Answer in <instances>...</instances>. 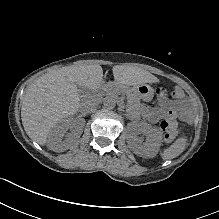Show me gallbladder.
<instances>
[{
    "mask_svg": "<svg viewBox=\"0 0 219 219\" xmlns=\"http://www.w3.org/2000/svg\"><path fill=\"white\" fill-rule=\"evenodd\" d=\"M78 93H79V95H80L81 97H85V96L89 95V91H88L87 89H85V88H80V87H79ZM60 124H61V123H60ZM60 124H59V125H60Z\"/></svg>",
    "mask_w": 219,
    "mask_h": 219,
    "instance_id": "1",
    "label": "gallbladder"
}]
</instances>
